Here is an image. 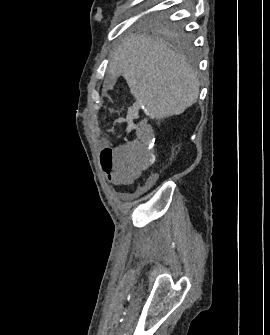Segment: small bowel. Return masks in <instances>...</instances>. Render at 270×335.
Returning a JSON list of instances; mask_svg holds the SVG:
<instances>
[{"label":"small bowel","mask_w":270,"mask_h":335,"mask_svg":"<svg viewBox=\"0 0 270 335\" xmlns=\"http://www.w3.org/2000/svg\"><path fill=\"white\" fill-rule=\"evenodd\" d=\"M126 134H137L135 144H125L118 149L115 144H98V151L104 154H94V161L101 166V173L106 178H135L140 170L151 165L148 156H159V149H153L156 140L153 130L147 121H128Z\"/></svg>","instance_id":"1"}]
</instances>
